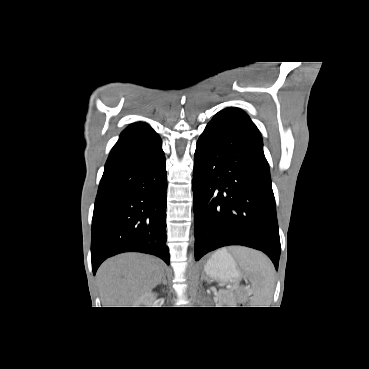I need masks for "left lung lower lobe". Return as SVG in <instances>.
<instances>
[{"mask_svg": "<svg viewBox=\"0 0 369 369\" xmlns=\"http://www.w3.org/2000/svg\"><path fill=\"white\" fill-rule=\"evenodd\" d=\"M195 259L228 245L263 251L278 269L280 238L262 138L238 108L218 112L197 141Z\"/></svg>", "mask_w": 369, "mask_h": 369, "instance_id": "obj_1", "label": "left lung lower lobe"}]
</instances>
